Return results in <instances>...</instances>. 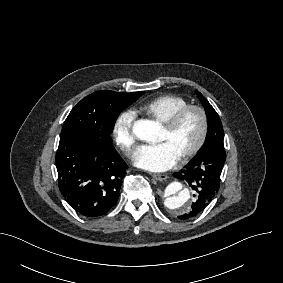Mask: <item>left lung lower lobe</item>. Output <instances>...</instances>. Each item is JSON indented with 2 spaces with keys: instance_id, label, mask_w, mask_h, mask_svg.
Here are the masks:
<instances>
[{
  "instance_id": "left-lung-lower-lobe-1",
  "label": "left lung lower lobe",
  "mask_w": 283,
  "mask_h": 283,
  "mask_svg": "<svg viewBox=\"0 0 283 283\" xmlns=\"http://www.w3.org/2000/svg\"><path fill=\"white\" fill-rule=\"evenodd\" d=\"M225 159L223 143H208L182 171L174 173V177L187 181L195 191L192 209L179 216V219L187 220L196 217L209 205L220 187V176Z\"/></svg>"
}]
</instances>
